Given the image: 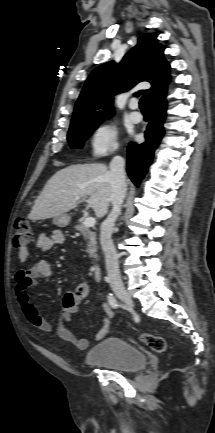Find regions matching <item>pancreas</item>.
Segmentation results:
<instances>
[{"mask_svg": "<svg viewBox=\"0 0 215 433\" xmlns=\"http://www.w3.org/2000/svg\"><path fill=\"white\" fill-rule=\"evenodd\" d=\"M75 229L80 232L83 238L87 241V253L90 258H97V242L96 235L89 227L85 226L83 222H80L75 226Z\"/></svg>", "mask_w": 215, "mask_h": 433, "instance_id": "cf45deb5", "label": "pancreas"}]
</instances>
